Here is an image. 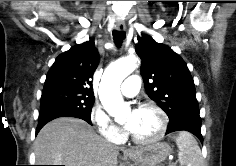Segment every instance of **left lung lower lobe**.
<instances>
[{"instance_id":"1","label":"left lung lower lobe","mask_w":236,"mask_h":166,"mask_svg":"<svg viewBox=\"0 0 236 166\" xmlns=\"http://www.w3.org/2000/svg\"><path fill=\"white\" fill-rule=\"evenodd\" d=\"M192 110L185 115L179 116L177 119L169 121L166 134L175 131H188L197 136L203 143L201 135V118L199 115V107L193 105Z\"/></svg>"}]
</instances>
